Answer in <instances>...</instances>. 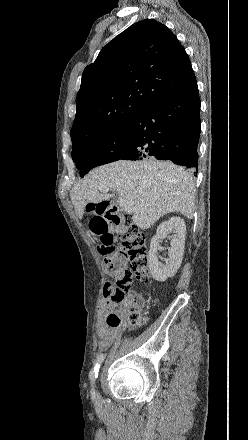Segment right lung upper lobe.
<instances>
[{"label":"right lung upper lobe","instance_id":"right-lung-upper-lobe-1","mask_svg":"<svg viewBox=\"0 0 248 440\" xmlns=\"http://www.w3.org/2000/svg\"><path fill=\"white\" fill-rule=\"evenodd\" d=\"M195 84L185 49L165 25L153 19L133 24L85 68L72 146L114 130L157 98Z\"/></svg>","mask_w":248,"mask_h":440}]
</instances>
